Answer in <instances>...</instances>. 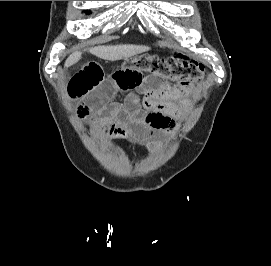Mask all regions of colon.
I'll return each mask as SVG.
<instances>
[{"instance_id": "1", "label": "colon", "mask_w": 271, "mask_h": 266, "mask_svg": "<svg viewBox=\"0 0 271 266\" xmlns=\"http://www.w3.org/2000/svg\"><path fill=\"white\" fill-rule=\"evenodd\" d=\"M138 68L146 73L177 82L184 89H191L202 81L204 71L195 65H182L171 59L154 55H140L125 60L121 68Z\"/></svg>"}]
</instances>
